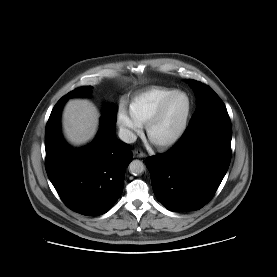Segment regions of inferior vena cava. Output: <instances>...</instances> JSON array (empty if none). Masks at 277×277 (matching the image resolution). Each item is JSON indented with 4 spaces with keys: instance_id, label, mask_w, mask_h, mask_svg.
Here are the masks:
<instances>
[{
    "instance_id": "inferior-vena-cava-1",
    "label": "inferior vena cava",
    "mask_w": 277,
    "mask_h": 277,
    "mask_svg": "<svg viewBox=\"0 0 277 277\" xmlns=\"http://www.w3.org/2000/svg\"><path fill=\"white\" fill-rule=\"evenodd\" d=\"M118 135L125 143H134L137 139V136L132 131L124 127H120Z\"/></svg>"
}]
</instances>
